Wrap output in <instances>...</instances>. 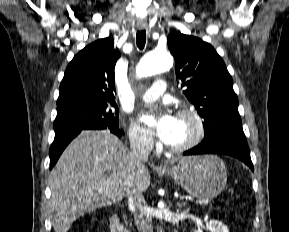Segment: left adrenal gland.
Listing matches in <instances>:
<instances>
[{
	"label": "left adrenal gland",
	"mask_w": 289,
	"mask_h": 232,
	"mask_svg": "<svg viewBox=\"0 0 289 232\" xmlns=\"http://www.w3.org/2000/svg\"><path fill=\"white\" fill-rule=\"evenodd\" d=\"M179 205V207H181L182 206V204H178Z\"/></svg>",
	"instance_id": "a2214340"
}]
</instances>
